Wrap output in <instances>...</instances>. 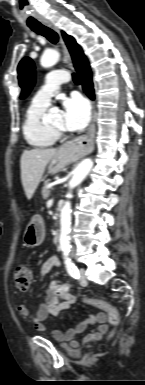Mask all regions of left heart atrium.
I'll return each mask as SVG.
<instances>
[{
	"label": "left heart atrium",
	"mask_w": 145,
	"mask_h": 385,
	"mask_svg": "<svg viewBox=\"0 0 145 385\" xmlns=\"http://www.w3.org/2000/svg\"><path fill=\"white\" fill-rule=\"evenodd\" d=\"M64 126L70 131L81 130L90 120V109L87 101L80 95H73L65 98Z\"/></svg>",
	"instance_id": "1"
}]
</instances>
